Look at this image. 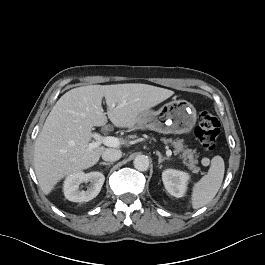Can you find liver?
<instances>
[{"instance_id":"liver-1","label":"liver","mask_w":265,"mask_h":265,"mask_svg":"<svg viewBox=\"0 0 265 265\" xmlns=\"http://www.w3.org/2000/svg\"><path fill=\"white\" fill-rule=\"evenodd\" d=\"M174 91L147 84L88 85L66 92L54 105L34 147V169L40 188L49 194L65 176L95 165L106 150H89L94 126H104L101 106L114 126L135 129L139 115L158 105Z\"/></svg>"}]
</instances>
